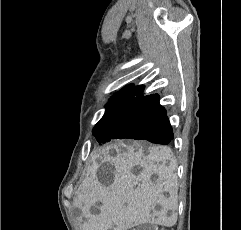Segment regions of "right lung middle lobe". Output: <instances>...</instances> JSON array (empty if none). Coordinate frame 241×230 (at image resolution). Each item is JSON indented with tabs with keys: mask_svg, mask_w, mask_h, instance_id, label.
Returning <instances> with one entry per match:
<instances>
[{
	"mask_svg": "<svg viewBox=\"0 0 241 230\" xmlns=\"http://www.w3.org/2000/svg\"><path fill=\"white\" fill-rule=\"evenodd\" d=\"M147 108L144 105L138 112L121 113L118 111L104 114L93 129V135L99 144H105L112 139H137L135 129L143 123L142 114Z\"/></svg>",
	"mask_w": 241,
	"mask_h": 230,
	"instance_id": "1",
	"label": "right lung middle lobe"
}]
</instances>
